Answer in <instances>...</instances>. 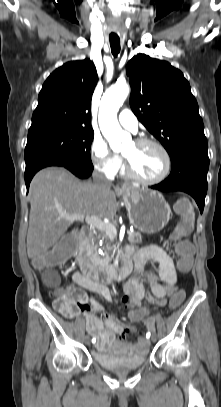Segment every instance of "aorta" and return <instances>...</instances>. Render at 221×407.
Here are the masks:
<instances>
[{"instance_id":"obj_1","label":"aorta","mask_w":221,"mask_h":407,"mask_svg":"<svg viewBox=\"0 0 221 407\" xmlns=\"http://www.w3.org/2000/svg\"><path fill=\"white\" fill-rule=\"evenodd\" d=\"M129 92L130 89L126 83L116 84L105 92L100 103L99 126L113 150L120 147V140L124 135L117 120V113Z\"/></svg>"}]
</instances>
